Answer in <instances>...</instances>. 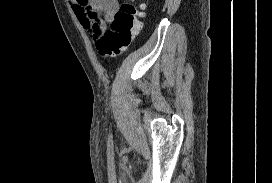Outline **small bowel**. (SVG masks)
<instances>
[{
  "instance_id": "c3829d8e",
  "label": "small bowel",
  "mask_w": 272,
  "mask_h": 183,
  "mask_svg": "<svg viewBox=\"0 0 272 183\" xmlns=\"http://www.w3.org/2000/svg\"><path fill=\"white\" fill-rule=\"evenodd\" d=\"M72 7L81 24L94 36H99L113 21L118 0H73Z\"/></svg>"
}]
</instances>
